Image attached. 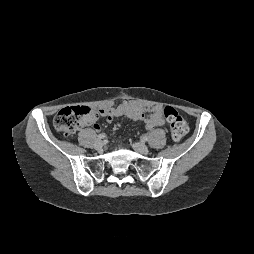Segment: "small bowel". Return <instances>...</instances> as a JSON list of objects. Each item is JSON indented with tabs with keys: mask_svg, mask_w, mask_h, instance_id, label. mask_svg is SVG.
<instances>
[{
	"mask_svg": "<svg viewBox=\"0 0 254 254\" xmlns=\"http://www.w3.org/2000/svg\"><path fill=\"white\" fill-rule=\"evenodd\" d=\"M99 114L108 122H112L115 118L120 116H126L135 121H142L147 130H151L155 127H163L165 125L163 107L160 105L143 106L135 102L123 101L117 106L99 110ZM90 124H93L96 130L99 129L96 120L92 121Z\"/></svg>",
	"mask_w": 254,
	"mask_h": 254,
	"instance_id": "small-bowel-1",
	"label": "small bowel"
}]
</instances>
